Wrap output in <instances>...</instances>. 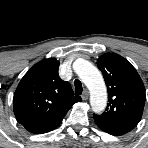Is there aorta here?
<instances>
[{"instance_id":"1","label":"aorta","mask_w":148,"mask_h":148,"mask_svg":"<svg viewBox=\"0 0 148 148\" xmlns=\"http://www.w3.org/2000/svg\"><path fill=\"white\" fill-rule=\"evenodd\" d=\"M90 92V104L95 112L104 110L107 103V89L100 71L90 62L81 60L77 70Z\"/></svg>"}]
</instances>
